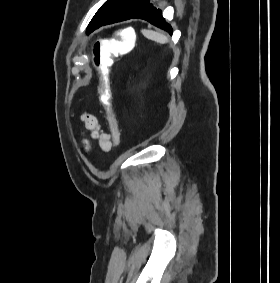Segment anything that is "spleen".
<instances>
[{
	"instance_id": "1",
	"label": "spleen",
	"mask_w": 280,
	"mask_h": 283,
	"mask_svg": "<svg viewBox=\"0 0 280 283\" xmlns=\"http://www.w3.org/2000/svg\"><path fill=\"white\" fill-rule=\"evenodd\" d=\"M141 32L147 39L155 41L159 44H165L169 41L168 38L164 34L153 31V30L143 29L141 30Z\"/></svg>"
}]
</instances>
